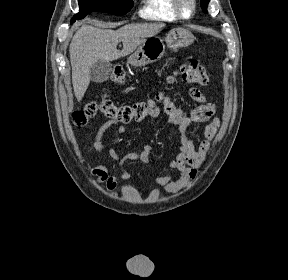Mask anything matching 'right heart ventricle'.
<instances>
[{"mask_svg":"<svg viewBox=\"0 0 288 280\" xmlns=\"http://www.w3.org/2000/svg\"><path fill=\"white\" fill-rule=\"evenodd\" d=\"M139 15L144 19L156 21H175L179 18L172 0H142Z\"/></svg>","mask_w":288,"mask_h":280,"instance_id":"right-heart-ventricle-1","label":"right heart ventricle"}]
</instances>
